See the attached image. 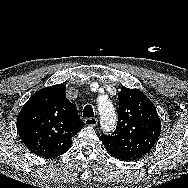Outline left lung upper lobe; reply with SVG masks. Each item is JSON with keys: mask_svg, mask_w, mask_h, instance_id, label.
Wrapping results in <instances>:
<instances>
[{"mask_svg": "<svg viewBox=\"0 0 188 188\" xmlns=\"http://www.w3.org/2000/svg\"><path fill=\"white\" fill-rule=\"evenodd\" d=\"M118 124L111 135L101 139L139 159L156 144L161 121L151 101L138 89L122 87L118 94Z\"/></svg>", "mask_w": 188, "mask_h": 188, "instance_id": "5c2ea615", "label": "left lung upper lobe"}]
</instances>
